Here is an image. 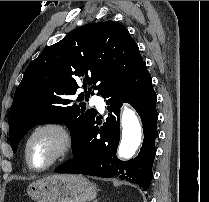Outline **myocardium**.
Masks as SVG:
<instances>
[{"label": "myocardium", "mask_w": 209, "mask_h": 202, "mask_svg": "<svg viewBox=\"0 0 209 202\" xmlns=\"http://www.w3.org/2000/svg\"><path fill=\"white\" fill-rule=\"evenodd\" d=\"M43 132L53 133L57 137L58 144L50 161L41 167H37L32 162L30 156V143L34 137ZM74 149L75 139L71 131L59 121H45L39 123L28 133L24 141V154L26 163L31 170L36 172H43L54 167L64 159L71 156V154L74 152Z\"/></svg>", "instance_id": "f54148a6"}]
</instances>
